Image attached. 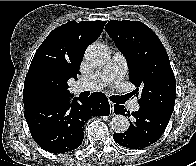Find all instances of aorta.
<instances>
[{
	"instance_id": "762f6f07",
	"label": "aorta",
	"mask_w": 196,
	"mask_h": 166,
	"mask_svg": "<svg viewBox=\"0 0 196 166\" xmlns=\"http://www.w3.org/2000/svg\"><path fill=\"white\" fill-rule=\"evenodd\" d=\"M85 59L91 65L102 66L109 62L110 51L104 44H92L86 49ZM110 124L113 131L116 133H124L129 127L128 119L121 114H117L112 117Z\"/></svg>"
}]
</instances>
